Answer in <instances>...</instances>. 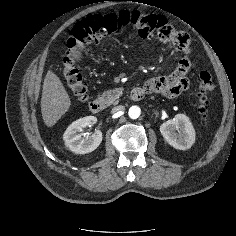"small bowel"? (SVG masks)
I'll list each match as a JSON object with an SVG mask.
<instances>
[{
    "instance_id": "obj_1",
    "label": "small bowel",
    "mask_w": 236,
    "mask_h": 236,
    "mask_svg": "<svg viewBox=\"0 0 236 236\" xmlns=\"http://www.w3.org/2000/svg\"><path fill=\"white\" fill-rule=\"evenodd\" d=\"M182 34V42H174L177 50L182 54L179 58L178 65L174 72L167 76L153 78L147 81L144 85L145 93H158L164 96H174L188 88L186 75L191 67V60L188 56L190 41L187 35ZM181 81L187 82V88L179 91L178 83Z\"/></svg>"
}]
</instances>
